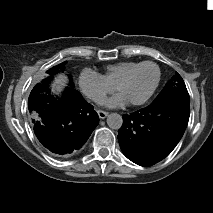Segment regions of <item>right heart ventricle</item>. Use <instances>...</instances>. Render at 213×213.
Returning <instances> with one entry per match:
<instances>
[{"mask_svg":"<svg viewBox=\"0 0 213 213\" xmlns=\"http://www.w3.org/2000/svg\"><path fill=\"white\" fill-rule=\"evenodd\" d=\"M141 63V62H140ZM139 62L122 61L105 67L102 77L113 87L117 82Z\"/></svg>","mask_w":213,"mask_h":213,"instance_id":"e07e8e85","label":"right heart ventricle"}]
</instances>
